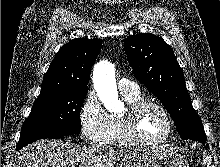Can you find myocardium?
<instances>
[{
	"mask_svg": "<svg viewBox=\"0 0 220 167\" xmlns=\"http://www.w3.org/2000/svg\"><path fill=\"white\" fill-rule=\"evenodd\" d=\"M149 106L159 109L167 120L168 130L167 133L162 138L155 140H146L138 134L137 124H138L139 116L142 113V111ZM120 120H121L122 131L125 139L127 140V142L133 145L147 146V147L160 146L166 143L167 141H169V139L172 137L174 133L175 125L173 118L170 112L167 110V108L158 101L141 100L133 104H130L126 108V110L121 114Z\"/></svg>",
	"mask_w": 220,
	"mask_h": 167,
	"instance_id": "myocardium-1",
	"label": "myocardium"
}]
</instances>
